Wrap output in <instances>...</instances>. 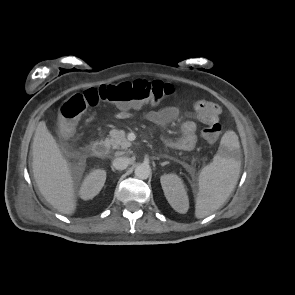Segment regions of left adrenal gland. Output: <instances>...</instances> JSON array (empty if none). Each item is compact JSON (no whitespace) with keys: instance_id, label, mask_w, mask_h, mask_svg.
Masks as SVG:
<instances>
[{"instance_id":"left-adrenal-gland-1","label":"left adrenal gland","mask_w":295,"mask_h":295,"mask_svg":"<svg viewBox=\"0 0 295 295\" xmlns=\"http://www.w3.org/2000/svg\"><path fill=\"white\" fill-rule=\"evenodd\" d=\"M164 157H165V158H170V157H168L167 155H164ZM167 164H169V162H168V161H165V162L161 163V166H165V165H167Z\"/></svg>"}]
</instances>
